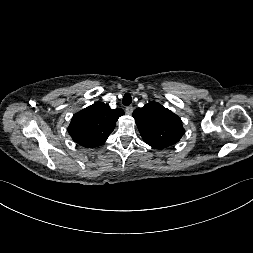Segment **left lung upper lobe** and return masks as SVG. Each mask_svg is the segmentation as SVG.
<instances>
[{
    "label": "left lung upper lobe",
    "instance_id": "5c2ea615",
    "mask_svg": "<svg viewBox=\"0 0 253 253\" xmlns=\"http://www.w3.org/2000/svg\"><path fill=\"white\" fill-rule=\"evenodd\" d=\"M133 117L143 140L156 149L177 143L185 133L181 119L158 103L137 108Z\"/></svg>",
    "mask_w": 253,
    "mask_h": 253
}]
</instances>
